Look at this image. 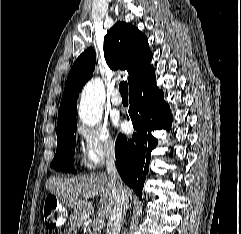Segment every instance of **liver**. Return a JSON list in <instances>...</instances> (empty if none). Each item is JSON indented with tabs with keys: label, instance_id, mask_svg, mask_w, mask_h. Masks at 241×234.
Wrapping results in <instances>:
<instances>
[{
	"label": "liver",
	"instance_id": "obj_1",
	"mask_svg": "<svg viewBox=\"0 0 241 234\" xmlns=\"http://www.w3.org/2000/svg\"><path fill=\"white\" fill-rule=\"evenodd\" d=\"M46 189L76 213L86 216L90 199L100 197L98 216L107 219L112 210V183L105 173H92L71 178L50 177ZM127 195L132 194L130 189Z\"/></svg>",
	"mask_w": 241,
	"mask_h": 234
}]
</instances>
